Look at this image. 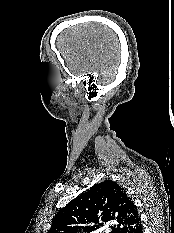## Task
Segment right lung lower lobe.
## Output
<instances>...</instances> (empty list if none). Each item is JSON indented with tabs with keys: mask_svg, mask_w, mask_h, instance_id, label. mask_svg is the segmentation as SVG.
<instances>
[{
	"mask_svg": "<svg viewBox=\"0 0 174 233\" xmlns=\"http://www.w3.org/2000/svg\"><path fill=\"white\" fill-rule=\"evenodd\" d=\"M134 233H143V232H142V226L138 227V228L134 231Z\"/></svg>",
	"mask_w": 174,
	"mask_h": 233,
	"instance_id": "right-lung-lower-lobe-1",
	"label": "right lung lower lobe"
}]
</instances>
